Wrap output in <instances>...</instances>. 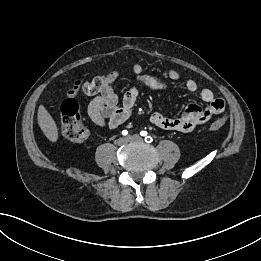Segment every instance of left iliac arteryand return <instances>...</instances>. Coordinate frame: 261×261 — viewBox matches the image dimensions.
Here are the masks:
<instances>
[{
	"instance_id": "obj_1",
	"label": "left iliac artery",
	"mask_w": 261,
	"mask_h": 261,
	"mask_svg": "<svg viewBox=\"0 0 261 261\" xmlns=\"http://www.w3.org/2000/svg\"><path fill=\"white\" fill-rule=\"evenodd\" d=\"M140 135L141 136H146L145 137V142H147V143H151L153 141L151 136H147V132L146 131H141Z\"/></svg>"
}]
</instances>
